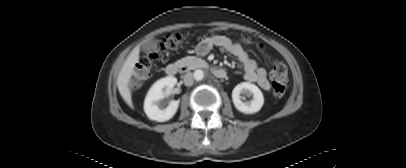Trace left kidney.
I'll return each mask as SVG.
<instances>
[{
  "instance_id": "1",
  "label": "left kidney",
  "mask_w": 406,
  "mask_h": 168,
  "mask_svg": "<svg viewBox=\"0 0 406 168\" xmlns=\"http://www.w3.org/2000/svg\"><path fill=\"white\" fill-rule=\"evenodd\" d=\"M241 94L247 97L252 96L250 102H243L241 100ZM232 101L237 110L245 114L257 113L264 104V97L261 90L255 85L249 82H242L235 86L232 91Z\"/></svg>"
}]
</instances>
